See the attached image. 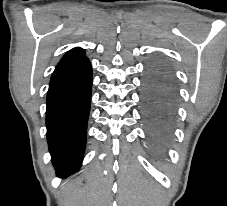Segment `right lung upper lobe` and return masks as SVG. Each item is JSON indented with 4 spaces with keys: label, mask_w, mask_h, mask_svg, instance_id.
I'll return each instance as SVG.
<instances>
[{
    "label": "right lung upper lobe",
    "mask_w": 227,
    "mask_h": 206,
    "mask_svg": "<svg viewBox=\"0 0 227 206\" xmlns=\"http://www.w3.org/2000/svg\"><path fill=\"white\" fill-rule=\"evenodd\" d=\"M84 56V50L82 48H74L71 49L70 51H68L63 58L61 59V61L59 63L74 59V58H78V57H82Z\"/></svg>",
    "instance_id": "obj_1"
}]
</instances>
